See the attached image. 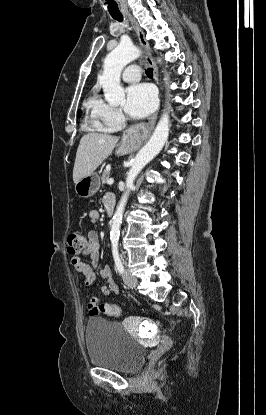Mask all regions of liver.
<instances>
[{"instance_id": "6515ba94", "label": "liver", "mask_w": 266, "mask_h": 415, "mask_svg": "<svg viewBox=\"0 0 266 415\" xmlns=\"http://www.w3.org/2000/svg\"><path fill=\"white\" fill-rule=\"evenodd\" d=\"M118 137L105 133H88L79 143L74 168L73 181L92 174L97 167L112 153Z\"/></svg>"}]
</instances>
